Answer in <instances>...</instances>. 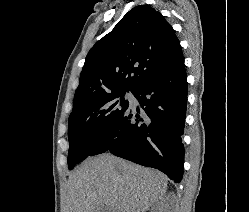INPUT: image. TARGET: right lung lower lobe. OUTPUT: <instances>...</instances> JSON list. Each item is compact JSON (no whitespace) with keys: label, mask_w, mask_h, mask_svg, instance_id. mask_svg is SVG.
I'll use <instances>...</instances> for the list:
<instances>
[{"label":"right lung lower lobe","mask_w":249,"mask_h":212,"mask_svg":"<svg viewBox=\"0 0 249 212\" xmlns=\"http://www.w3.org/2000/svg\"><path fill=\"white\" fill-rule=\"evenodd\" d=\"M133 95L140 105L138 114L129 107L108 132L96 155L109 151L156 168L179 183L183 176L181 136L187 105L184 56L137 88Z\"/></svg>","instance_id":"98d812e1"}]
</instances>
